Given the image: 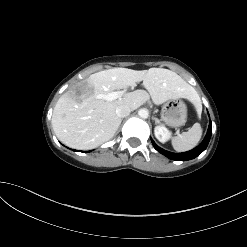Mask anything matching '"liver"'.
I'll return each instance as SVG.
<instances>
[{
	"label": "liver",
	"instance_id": "1",
	"mask_svg": "<svg viewBox=\"0 0 247 247\" xmlns=\"http://www.w3.org/2000/svg\"><path fill=\"white\" fill-rule=\"evenodd\" d=\"M141 81L147 91L135 90L112 101L100 98V95L135 86ZM83 89L80 96L74 89L65 92L58 99L52 115L53 130L58 139L69 147L82 150L96 148L114 136L121 123V118L116 115V108L120 105L135 110L150 98L155 105L171 99L199 100L193 87L175 72L163 68L100 71L85 80Z\"/></svg>",
	"mask_w": 247,
	"mask_h": 247
}]
</instances>
